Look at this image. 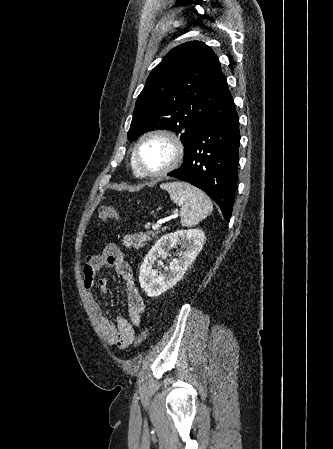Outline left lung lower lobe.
Here are the masks:
<instances>
[{"label":"left lung lower lobe","instance_id":"left-lung-lower-lobe-1","mask_svg":"<svg viewBox=\"0 0 333 449\" xmlns=\"http://www.w3.org/2000/svg\"><path fill=\"white\" fill-rule=\"evenodd\" d=\"M239 142V118L226 85L196 129L182 166L168 174L203 190L227 221L236 190Z\"/></svg>","mask_w":333,"mask_h":449}]
</instances>
